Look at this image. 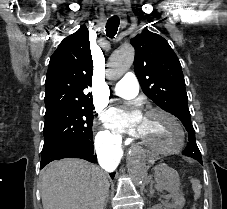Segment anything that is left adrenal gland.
Returning a JSON list of instances; mask_svg holds the SVG:
<instances>
[{"label": "left adrenal gland", "instance_id": "obj_1", "mask_svg": "<svg viewBox=\"0 0 227 209\" xmlns=\"http://www.w3.org/2000/svg\"><path fill=\"white\" fill-rule=\"evenodd\" d=\"M153 183H154V181H151V185H150V195H154Z\"/></svg>", "mask_w": 227, "mask_h": 209}]
</instances>
